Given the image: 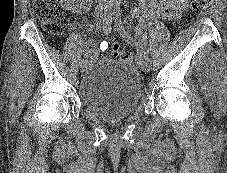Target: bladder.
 <instances>
[{
	"instance_id": "31cf9c89",
	"label": "bladder",
	"mask_w": 227,
	"mask_h": 173,
	"mask_svg": "<svg viewBox=\"0 0 227 173\" xmlns=\"http://www.w3.org/2000/svg\"><path fill=\"white\" fill-rule=\"evenodd\" d=\"M78 95L88 113L104 121L117 122L138 109L143 96L142 79L133 65L106 60L85 73Z\"/></svg>"
}]
</instances>
